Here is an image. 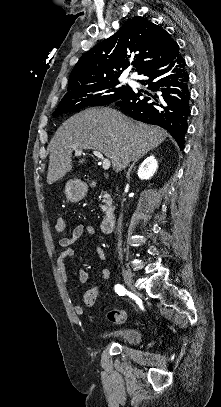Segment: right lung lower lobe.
<instances>
[{"instance_id":"98d812e1","label":"right lung lower lobe","mask_w":221,"mask_h":407,"mask_svg":"<svg viewBox=\"0 0 221 407\" xmlns=\"http://www.w3.org/2000/svg\"><path fill=\"white\" fill-rule=\"evenodd\" d=\"M185 66L176 43L165 57L141 73L147 79L138 81L148 85L150 92L131 89L113 102L135 120L166 129L181 149L184 148L187 119L191 112L189 77Z\"/></svg>"}]
</instances>
